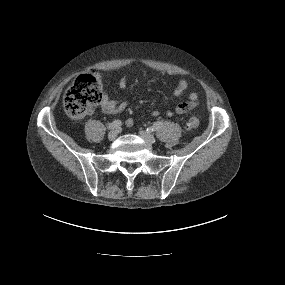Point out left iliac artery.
<instances>
[{
	"mask_svg": "<svg viewBox=\"0 0 285 285\" xmlns=\"http://www.w3.org/2000/svg\"><path fill=\"white\" fill-rule=\"evenodd\" d=\"M163 125V121H158L153 124V126L147 128L148 132H153L158 130Z\"/></svg>",
	"mask_w": 285,
	"mask_h": 285,
	"instance_id": "44dca946",
	"label": "left iliac artery"
}]
</instances>
